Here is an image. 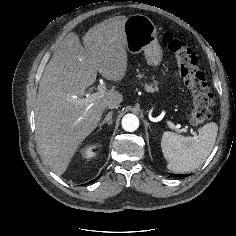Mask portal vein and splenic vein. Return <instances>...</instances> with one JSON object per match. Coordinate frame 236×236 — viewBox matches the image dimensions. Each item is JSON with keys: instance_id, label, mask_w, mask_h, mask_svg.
Wrapping results in <instances>:
<instances>
[{"instance_id": "portal-vein-and-splenic-vein-1", "label": "portal vein and splenic vein", "mask_w": 236, "mask_h": 236, "mask_svg": "<svg viewBox=\"0 0 236 236\" xmlns=\"http://www.w3.org/2000/svg\"><path fill=\"white\" fill-rule=\"evenodd\" d=\"M97 90L98 91L95 93L87 94L86 98L78 99V103H94L95 101L103 98L106 93V87L104 86V83L100 82V84L97 87ZM167 124L171 129L177 130L179 132L184 131V129H180L181 128L180 124L174 125L170 121H168Z\"/></svg>"}]
</instances>
